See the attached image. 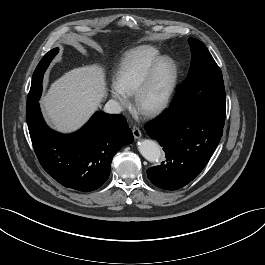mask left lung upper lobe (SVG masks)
<instances>
[{
  "mask_svg": "<svg viewBox=\"0 0 265 265\" xmlns=\"http://www.w3.org/2000/svg\"><path fill=\"white\" fill-rule=\"evenodd\" d=\"M191 66L170 109H195L224 125L226 96L221 71L199 40L189 38Z\"/></svg>",
  "mask_w": 265,
  "mask_h": 265,
  "instance_id": "1",
  "label": "left lung upper lobe"
}]
</instances>
